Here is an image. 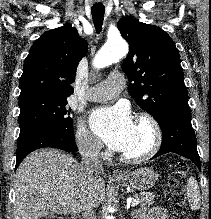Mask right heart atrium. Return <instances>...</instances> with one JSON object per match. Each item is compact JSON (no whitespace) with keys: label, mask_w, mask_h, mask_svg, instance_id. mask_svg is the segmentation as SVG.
<instances>
[{"label":"right heart atrium","mask_w":211,"mask_h":219,"mask_svg":"<svg viewBox=\"0 0 211 219\" xmlns=\"http://www.w3.org/2000/svg\"><path fill=\"white\" fill-rule=\"evenodd\" d=\"M75 142L80 152L86 156L100 158L104 155L102 143L83 123H79L76 128Z\"/></svg>","instance_id":"d8ad5b80"}]
</instances>
